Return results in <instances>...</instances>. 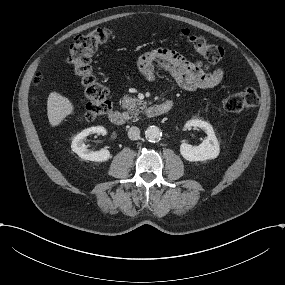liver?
<instances>
[{
	"label": "liver",
	"mask_w": 285,
	"mask_h": 285,
	"mask_svg": "<svg viewBox=\"0 0 285 285\" xmlns=\"http://www.w3.org/2000/svg\"><path fill=\"white\" fill-rule=\"evenodd\" d=\"M74 112V103L68 97L64 96L58 90H53L49 93L47 99V116L52 128L62 125Z\"/></svg>",
	"instance_id": "1"
}]
</instances>
